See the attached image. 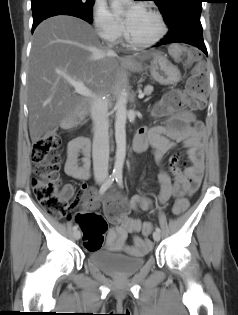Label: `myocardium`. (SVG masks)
<instances>
[{"instance_id": "1", "label": "myocardium", "mask_w": 238, "mask_h": 315, "mask_svg": "<svg viewBox=\"0 0 238 315\" xmlns=\"http://www.w3.org/2000/svg\"><path fill=\"white\" fill-rule=\"evenodd\" d=\"M143 9H145L146 11L151 13L157 19L158 24H159V32L154 38H152L150 40L138 41V40H135L131 37V35L128 31V28L126 27L125 28L126 41L131 46L137 47V48H146V47L153 46V45L157 44L159 41H161L167 33V26H166V23H165V20H164L162 14L158 10L151 8V7H145Z\"/></svg>"}]
</instances>
